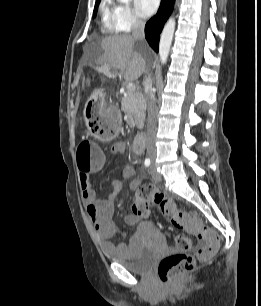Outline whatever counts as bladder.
I'll use <instances>...</instances> for the list:
<instances>
[{
    "label": "bladder",
    "instance_id": "obj_1",
    "mask_svg": "<svg viewBox=\"0 0 261 306\" xmlns=\"http://www.w3.org/2000/svg\"><path fill=\"white\" fill-rule=\"evenodd\" d=\"M150 238L156 241L154 245H147L140 236H137L136 242L132 245L127 254L119 256L108 254V259L118 263L130 272L146 273L150 270L158 254L163 250L164 235L157 229L149 230Z\"/></svg>",
    "mask_w": 261,
    "mask_h": 306
}]
</instances>
